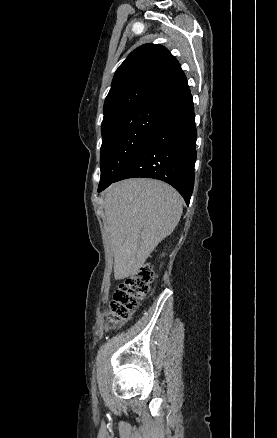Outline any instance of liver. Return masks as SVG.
Returning <instances> with one entry per match:
<instances>
[{"instance_id": "liver-1", "label": "liver", "mask_w": 277, "mask_h": 438, "mask_svg": "<svg viewBox=\"0 0 277 438\" xmlns=\"http://www.w3.org/2000/svg\"><path fill=\"white\" fill-rule=\"evenodd\" d=\"M105 200L114 278L125 280L140 272L151 252L178 226L182 200L169 184L148 178L112 184Z\"/></svg>"}]
</instances>
